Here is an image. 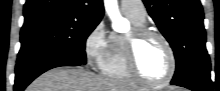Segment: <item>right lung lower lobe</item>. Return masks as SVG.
Returning a JSON list of instances; mask_svg holds the SVG:
<instances>
[{"label":"right lung lower lobe","mask_w":220,"mask_h":91,"mask_svg":"<svg viewBox=\"0 0 220 91\" xmlns=\"http://www.w3.org/2000/svg\"><path fill=\"white\" fill-rule=\"evenodd\" d=\"M85 63L69 55L45 52L17 59L14 91H23L43 72L60 66H79Z\"/></svg>","instance_id":"98d812e1"}]
</instances>
